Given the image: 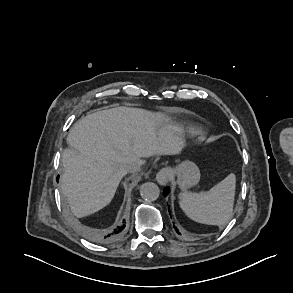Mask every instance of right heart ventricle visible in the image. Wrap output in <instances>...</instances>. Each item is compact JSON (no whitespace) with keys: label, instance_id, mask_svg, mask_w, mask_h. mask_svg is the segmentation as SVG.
<instances>
[{"label":"right heart ventricle","instance_id":"obj_1","mask_svg":"<svg viewBox=\"0 0 293 293\" xmlns=\"http://www.w3.org/2000/svg\"><path fill=\"white\" fill-rule=\"evenodd\" d=\"M184 130H185L184 126L176 125V126H173L170 131L173 136H178V135H182Z\"/></svg>","mask_w":293,"mask_h":293}]
</instances>
